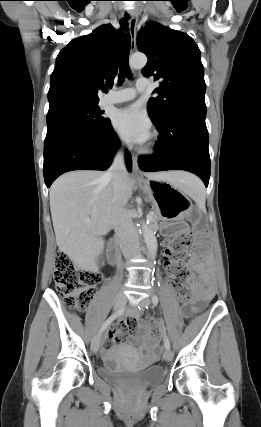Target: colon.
Here are the masks:
<instances>
[{"mask_svg": "<svg viewBox=\"0 0 261 427\" xmlns=\"http://www.w3.org/2000/svg\"><path fill=\"white\" fill-rule=\"evenodd\" d=\"M188 245L189 237L183 233L173 238L165 248L169 283L182 303H187L190 298L189 287L192 280V273L184 264ZM100 280L99 272L79 267L65 252L56 254L54 282L67 307L80 311L87 309ZM141 330L147 332L150 337H159L156 325L148 326L143 323Z\"/></svg>", "mask_w": 261, "mask_h": 427, "instance_id": "5ec220e1", "label": "colon"}]
</instances>
